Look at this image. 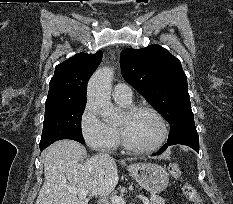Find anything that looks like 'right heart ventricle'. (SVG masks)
<instances>
[{
	"label": "right heart ventricle",
	"mask_w": 233,
	"mask_h": 204,
	"mask_svg": "<svg viewBox=\"0 0 233 204\" xmlns=\"http://www.w3.org/2000/svg\"><path fill=\"white\" fill-rule=\"evenodd\" d=\"M131 103H128V104H121L119 103L120 106H122L123 108H127L130 106ZM114 131V133L116 134V137H117V144L119 143V134H118V131L115 127H111Z\"/></svg>",
	"instance_id": "obj_1"
}]
</instances>
